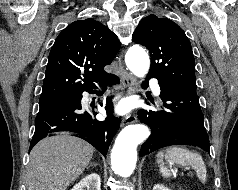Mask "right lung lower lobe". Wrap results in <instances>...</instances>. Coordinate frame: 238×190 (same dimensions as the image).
<instances>
[{"label": "right lung lower lobe", "mask_w": 238, "mask_h": 190, "mask_svg": "<svg viewBox=\"0 0 238 190\" xmlns=\"http://www.w3.org/2000/svg\"><path fill=\"white\" fill-rule=\"evenodd\" d=\"M106 84H118L117 76L112 75L106 80ZM92 89L87 90L93 92ZM82 94L79 101L73 105H68L44 112H39L35 119V132L30 144L32 147L46 136L48 133L58 131H71L81 134L84 140L93 145L96 149L106 155L111 140L119 129L120 119L112 114L111 97L106 99L107 117L104 121H98L93 116L96 111H84L81 107Z\"/></svg>", "instance_id": "98d812e1"}]
</instances>
